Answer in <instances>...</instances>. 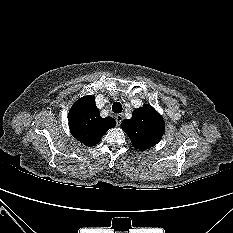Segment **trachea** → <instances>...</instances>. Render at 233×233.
<instances>
[{"label": "trachea", "instance_id": "3493384b", "mask_svg": "<svg viewBox=\"0 0 233 233\" xmlns=\"http://www.w3.org/2000/svg\"><path fill=\"white\" fill-rule=\"evenodd\" d=\"M112 111L114 113H121L122 111V105L120 102H115L113 105H112Z\"/></svg>", "mask_w": 233, "mask_h": 233}]
</instances>
